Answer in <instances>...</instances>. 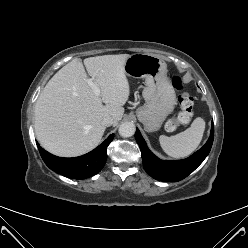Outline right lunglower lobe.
<instances>
[{"label": "right lung lower lobe", "mask_w": 248, "mask_h": 248, "mask_svg": "<svg viewBox=\"0 0 248 248\" xmlns=\"http://www.w3.org/2000/svg\"><path fill=\"white\" fill-rule=\"evenodd\" d=\"M111 134L93 151L74 158H61L42 149L37 143L39 152L45 164L56 173L72 179H85L101 171L107 160V147L113 140Z\"/></svg>", "instance_id": "obj_1"}]
</instances>
